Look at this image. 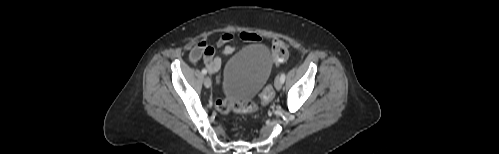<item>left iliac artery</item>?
Segmentation results:
<instances>
[{
    "label": "left iliac artery",
    "instance_id": "obj_1",
    "mask_svg": "<svg viewBox=\"0 0 499 154\" xmlns=\"http://www.w3.org/2000/svg\"><path fill=\"white\" fill-rule=\"evenodd\" d=\"M280 79H281L282 83H284V81H285V73L281 74Z\"/></svg>",
    "mask_w": 499,
    "mask_h": 154
}]
</instances>
